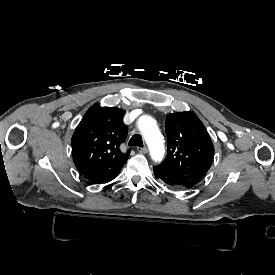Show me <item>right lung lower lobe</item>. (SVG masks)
<instances>
[{
    "label": "right lung lower lobe",
    "mask_w": 275,
    "mask_h": 275,
    "mask_svg": "<svg viewBox=\"0 0 275 275\" xmlns=\"http://www.w3.org/2000/svg\"><path fill=\"white\" fill-rule=\"evenodd\" d=\"M120 170L110 169L102 170L98 172L85 174L84 177L91 180L94 183H107L113 180L119 174Z\"/></svg>",
    "instance_id": "1"
}]
</instances>
